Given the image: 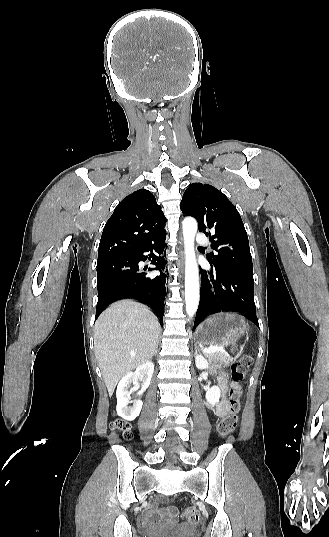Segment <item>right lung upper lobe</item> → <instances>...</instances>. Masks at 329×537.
I'll return each mask as SVG.
<instances>
[{
	"label": "right lung upper lobe",
	"instance_id": "right-lung-upper-lobe-1",
	"mask_svg": "<svg viewBox=\"0 0 329 537\" xmlns=\"http://www.w3.org/2000/svg\"><path fill=\"white\" fill-rule=\"evenodd\" d=\"M166 218L149 190L125 197L108 219L99 243L98 259L122 256L166 236Z\"/></svg>",
	"mask_w": 329,
	"mask_h": 537
}]
</instances>
